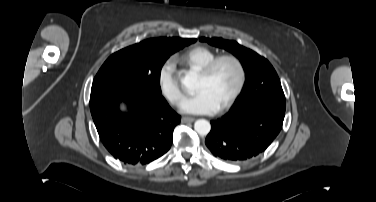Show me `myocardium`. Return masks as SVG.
<instances>
[{"mask_svg":"<svg viewBox=\"0 0 376 202\" xmlns=\"http://www.w3.org/2000/svg\"><path fill=\"white\" fill-rule=\"evenodd\" d=\"M224 61H230L235 65L238 72V81L233 92L231 93L229 98L219 107L218 111H225L233 105V103L241 94L247 79V72L244 63L239 57L233 54L216 56L213 60H211L202 69L199 70V75L205 78L210 77L214 73L217 66Z\"/></svg>","mask_w":376,"mask_h":202,"instance_id":"1","label":"myocardium"}]
</instances>
